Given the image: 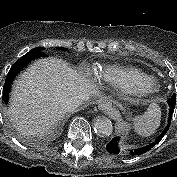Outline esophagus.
I'll return each instance as SVG.
<instances>
[{
	"label": "esophagus",
	"instance_id": "esophagus-1",
	"mask_svg": "<svg viewBox=\"0 0 177 177\" xmlns=\"http://www.w3.org/2000/svg\"><path fill=\"white\" fill-rule=\"evenodd\" d=\"M110 105H111V102L108 100H102L99 102V108L102 110L106 109Z\"/></svg>",
	"mask_w": 177,
	"mask_h": 177
}]
</instances>
